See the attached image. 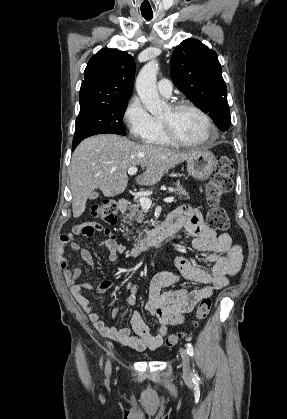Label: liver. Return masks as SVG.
<instances>
[{"instance_id": "obj_1", "label": "liver", "mask_w": 287, "mask_h": 419, "mask_svg": "<svg viewBox=\"0 0 287 419\" xmlns=\"http://www.w3.org/2000/svg\"><path fill=\"white\" fill-rule=\"evenodd\" d=\"M200 150L180 152L164 147L138 144L114 134H101L83 140L75 149L69 167L73 217H80L95 189L113 197L128 185V169L146 168L136 183L151 186L177 164L188 160Z\"/></svg>"}]
</instances>
